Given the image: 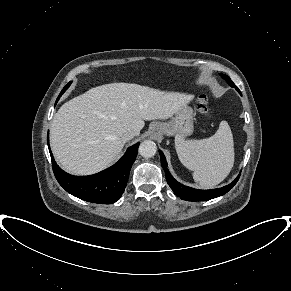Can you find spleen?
I'll return each mask as SVG.
<instances>
[{"instance_id": "3e777b00", "label": "spleen", "mask_w": 291, "mask_h": 291, "mask_svg": "<svg viewBox=\"0 0 291 291\" xmlns=\"http://www.w3.org/2000/svg\"><path fill=\"white\" fill-rule=\"evenodd\" d=\"M175 148L181 163L193 171L194 180L204 188L222 182L234 165L233 135L226 121L207 139L184 140L177 135Z\"/></svg>"}]
</instances>
